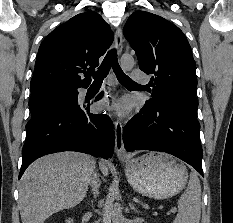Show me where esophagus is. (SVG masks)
<instances>
[{"instance_id":"1","label":"esophagus","mask_w":233,"mask_h":223,"mask_svg":"<svg viewBox=\"0 0 233 223\" xmlns=\"http://www.w3.org/2000/svg\"><path fill=\"white\" fill-rule=\"evenodd\" d=\"M115 48L117 53L120 54L123 48V34L122 29L117 28L115 32ZM123 127L120 120H116L115 122V152L119 159L127 158V153L124 148V143L122 139Z\"/></svg>"}]
</instances>
